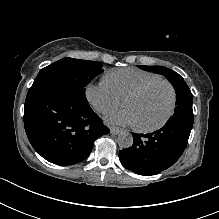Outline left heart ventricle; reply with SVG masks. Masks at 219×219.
<instances>
[{
	"label": "left heart ventricle",
	"mask_w": 219,
	"mask_h": 219,
	"mask_svg": "<svg viewBox=\"0 0 219 219\" xmlns=\"http://www.w3.org/2000/svg\"><path fill=\"white\" fill-rule=\"evenodd\" d=\"M170 101V88L164 83H159L139 96L125 101L124 107L135 114L138 126L151 127L163 120Z\"/></svg>",
	"instance_id": "b2bd125f"
}]
</instances>
